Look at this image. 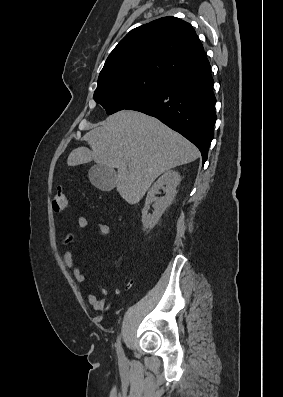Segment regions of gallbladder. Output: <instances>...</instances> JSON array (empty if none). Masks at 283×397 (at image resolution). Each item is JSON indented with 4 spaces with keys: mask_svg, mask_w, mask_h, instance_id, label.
Masks as SVG:
<instances>
[{
    "mask_svg": "<svg viewBox=\"0 0 283 397\" xmlns=\"http://www.w3.org/2000/svg\"><path fill=\"white\" fill-rule=\"evenodd\" d=\"M89 179L96 188L108 192L115 187L116 172L112 168L96 164L89 170Z\"/></svg>",
    "mask_w": 283,
    "mask_h": 397,
    "instance_id": "1",
    "label": "gallbladder"
}]
</instances>
